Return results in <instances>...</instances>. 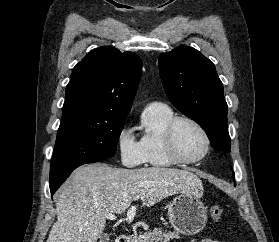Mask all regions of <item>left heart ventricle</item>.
Returning a JSON list of instances; mask_svg holds the SVG:
<instances>
[{
	"label": "left heart ventricle",
	"mask_w": 279,
	"mask_h": 242,
	"mask_svg": "<svg viewBox=\"0 0 279 242\" xmlns=\"http://www.w3.org/2000/svg\"><path fill=\"white\" fill-rule=\"evenodd\" d=\"M175 141L180 154L187 159L202 155L205 141L199 130L192 124L180 122L175 130Z\"/></svg>",
	"instance_id": "1"
}]
</instances>
